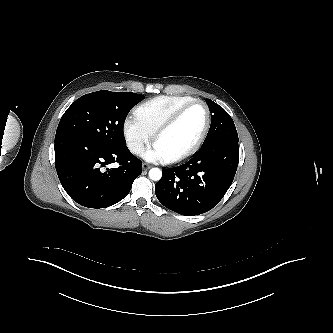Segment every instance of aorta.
<instances>
[{
	"label": "aorta",
	"mask_w": 333,
	"mask_h": 333,
	"mask_svg": "<svg viewBox=\"0 0 333 333\" xmlns=\"http://www.w3.org/2000/svg\"><path fill=\"white\" fill-rule=\"evenodd\" d=\"M162 177V171L159 168H152L149 171V178L153 181H159Z\"/></svg>",
	"instance_id": "aorta-1"
}]
</instances>
